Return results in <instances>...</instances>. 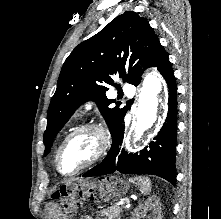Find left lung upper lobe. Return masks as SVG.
<instances>
[{
	"instance_id": "obj_1",
	"label": "left lung upper lobe",
	"mask_w": 221,
	"mask_h": 219,
	"mask_svg": "<svg viewBox=\"0 0 221 219\" xmlns=\"http://www.w3.org/2000/svg\"><path fill=\"white\" fill-rule=\"evenodd\" d=\"M160 45L148 21L126 11L76 46L63 64L48 108L44 155L50 152L53 139L74 111L90 99L98 105L113 135L127 110L106 97L107 86H115L112 76L118 75L123 82L138 85L142 71L132 64L139 59V63L148 67ZM128 57L130 63L126 68ZM112 103L116 106L111 107Z\"/></svg>"
}]
</instances>
